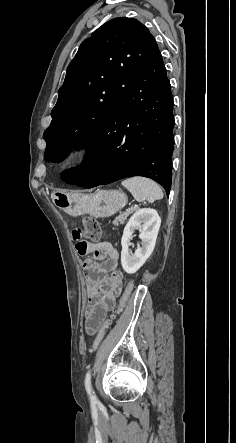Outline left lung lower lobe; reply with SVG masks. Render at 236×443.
I'll return each mask as SVG.
<instances>
[{"label": "left lung lower lobe", "instance_id": "left-lung-lower-lobe-1", "mask_svg": "<svg viewBox=\"0 0 236 443\" xmlns=\"http://www.w3.org/2000/svg\"><path fill=\"white\" fill-rule=\"evenodd\" d=\"M173 97L158 46L87 144L83 165L61 179L84 188L144 176L169 195L174 146Z\"/></svg>", "mask_w": 236, "mask_h": 443}]
</instances>
